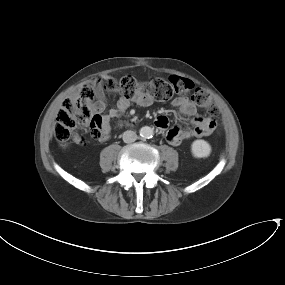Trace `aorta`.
Wrapping results in <instances>:
<instances>
[{"mask_svg":"<svg viewBox=\"0 0 285 285\" xmlns=\"http://www.w3.org/2000/svg\"><path fill=\"white\" fill-rule=\"evenodd\" d=\"M154 132L149 126H144L140 129V136L146 139L152 138Z\"/></svg>","mask_w":285,"mask_h":285,"instance_id":"aorta-1","label":"aorta"}]
</instances>
